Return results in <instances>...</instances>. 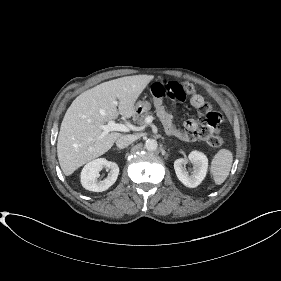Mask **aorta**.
Segmentation results:
<instances>
[{
    "label": "aorta",
    "instance_id": "aorta-1",
    "mask_svg": "<svg viewBox=\"0 0 281 281\" xmlns=\"http://www.w3.org/2000/svg\"><path fill=\"white\" fill-rule=\"evenodd\" d=\"M158 147V143L155 139H147L146 142H145V148L148 150V151H154L156 150Z\"/></svg>",
    "mask_w": 281,
    "mask_h": 281
}]
</instances>
